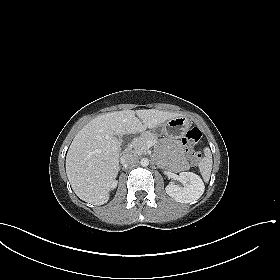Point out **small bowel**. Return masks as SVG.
I'll use <instances>...</instances> for the list:
<instances>
[{
	"instance_id": "small-bowel-1",
	"label": "small bowel",
	"mask_w": 280,
	"mask_h": 280,
	"mask_svg": "<svg viewBox=\"0 0 280 280\" xmlns=\"http://www.w3.org/2000/svg\"><path fill=\"white\" fill-rule=\"evenodd\" d=\"M173 151H174L175 155H178L182 152V149H181L179 144L174 143L173 144ZM172 167L175 170H184L186 168V164L183 161H177L172 165Z\"/></svg>"
}]
</instances>
